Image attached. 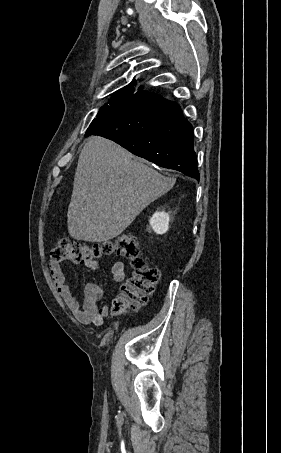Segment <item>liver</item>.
Returning a JSON list of instances; mask_svg holds the SVG:
<instances>
[{"instance_id": "1", "label": "liver", "mask_w": 281, "mask_h": 453, "mask_svg": "<svg viewBox=\"0 0 281 453\" xmlns=\"http://www.w3.org/2000/svg\"><path fill=\"white\" fill-rule=\"evenodd\" d=\"M175 182L176 178L133 160L131 152L113 140L90 136L78 158L68 233L75 241L108 243Z\"/></svg>"}]
</instances>
